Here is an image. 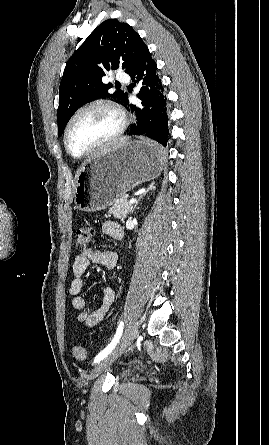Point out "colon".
<instances>
[{
    "instance_id": "5ec220e1",
    "label": "colon",
    "mask_w": 269,
    "mask_h": 445,
    "mask_svg": "<svg viewBox=\"0 0 269 445\" xmlns=\"http://www.w3.org/2000/svg\"><path fill=\"white\" fill-rule=\"evenodd\" d=\"M94 231L90 226L83 225L76 231V247L79 250H84L92 240ZM73 355L78 360H84L87 357V351L81 346L73 347Z\"/></svg>"
}]
</instances>
